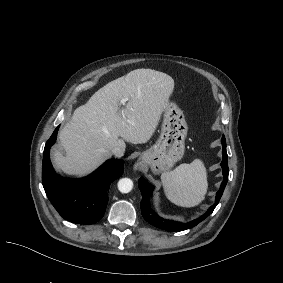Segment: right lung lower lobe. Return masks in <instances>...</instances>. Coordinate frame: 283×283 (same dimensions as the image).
<instances>
[{"mask_svg":"<svg viewBox=\"0 0 283 283\" xmlns=\"http://www.w3.org/2000/svg\"><path fill=\"white\" fill-rule=\"evenodd\" d=\"M59 126L47 141L43 153L42 183L46 195L58 213L78 224L99 221L106 210L110 183L123 173V160L110 159L96 171L81 179H64L56 175L49 158Z\"/></svg>","mask_w":283,"mask_h":283,"instance_id":"98d812e1","label":"right lung lower lobe"}]
</instances>
